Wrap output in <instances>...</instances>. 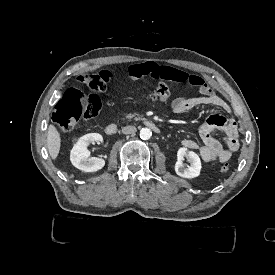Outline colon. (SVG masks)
I'll list each match as a JSON object with an SVG mask.
<instances>
[{
	"label": "colon",
	"instance_id": "colon-1",
	"mask_svg": "<svg viewBox=\"0 0 275 275\" xmlns=\"http://www.w3.org/2000/svg\"><path fill=\"white\" fill-rule=\"evenodd\" d=\"M78 83H89L94 93H84L76 88H69L64 96L54 106L53 120L61 131L72 130L80 121L94 118L99 113L101 101L97 95H105L108 86L99 79V72H78ZM172 92L163 80H156L151 85V93L148 98L152 102H160L169 99ZM220 170L227 174L231 167L226 162L221 163Z\"/></svg>",
	"mask_w": 275,
	"mask_h": 275
}]
</instances>
